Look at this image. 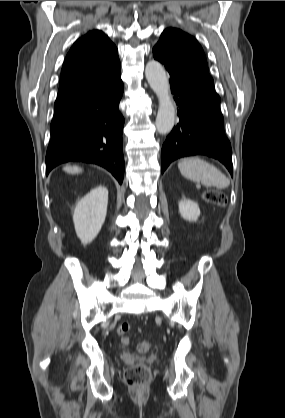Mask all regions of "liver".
Masks as SVG:
<instances>
[{
	"label": "liver",
	"mask_w": 285,
	"mask_h": 418,
	"mask_svg": "<svg viewBox=\"0 0 285 418\" xmlns=\"http://www.w3.org/2000/svg\"><path fill=\"white\" fill-rule=\"evenodd\" d=\"M63 170L65 172H67V173H70V174H78V173H81L82 172V169L80 167H78V166H70V165L65 166L63 168Z\"/></svg>",
	"instance_id": "liver-1"
}]
</instances>
